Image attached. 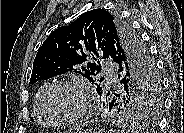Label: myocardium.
<instances>
[{
  "label": "myocardium",
  "mask_w": 184,
  "mask_h": 133,
  "mask_svg": "<svg viewBox=\"0 0 184 133\" xmlns=\"http://www.w3.org/2000/svg\"><path fill=\"white\" fill-rule=\"evenodd\" d=\"M58 87H71L76 89L81 97H82V109L81 111L75 115L72 118L69 119H56L52 117L50 114L48 107H47V101L49 98V95L51 92L58 88ZM41 110L46 118V120L52 124V125H57V126H72V125H77L81 122H83L91 113V102H90V94L88 91L87 86L76 80H60L57 82H54L48 86V88L45 90L42 99H41Z\"/></svg>",
  "instance_id": "1"
}]
</instances>
